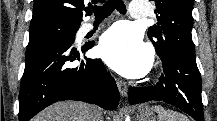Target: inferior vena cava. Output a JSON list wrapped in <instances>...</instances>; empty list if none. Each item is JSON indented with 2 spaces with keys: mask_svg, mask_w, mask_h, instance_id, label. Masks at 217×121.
Segmentation results:
<instances>
[{
  "mask_svg": "<svg viewBox=\"0 0 217 121\" xmlns=\"http://www.w3.org/2000/svg\"><path fill=\"white\" fill-rule=\"evenodd\" d=\"M90 121H102L101 112L97 107H93L90 115Z\"/></svg>",
  "mask_w": 217,
  "mask_h": 121,
  "instance_id": "602c4592",
  "label": "inferior vena cava"
}]
</instances>
